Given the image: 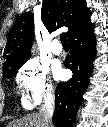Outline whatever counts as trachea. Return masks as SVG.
Listing matches in <instances>:
<instances>
[{
    "instance_id": "trachea-1",
    "label": "trachea",
    "mask_w": 108,
    "mask_h": 127,
    "mask_svg": "<svg viewBox=\"0 0 108 127\" xmlns=\"http://www.w3.org/2000/svg\"><path fill=\"white\" fill-rule=\"evenodd\" d=\"M60 41H61L62 45H68V40H67L66 33H62L60 35Z\"/></svg>"
}]
</instances>
